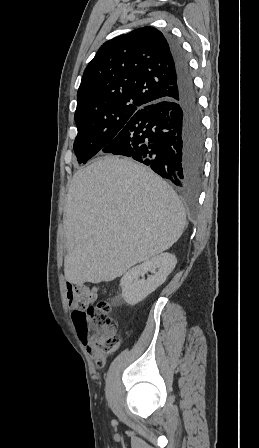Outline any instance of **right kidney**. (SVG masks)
<instances>
[{
  "label": "right kidney",
  "instance_id": "right-kidney-1",
  "mask_svg": "<svg viewBox=\"0 0 259 448\" xmlns=\"http://www.w3.org/2000/svg\"><path fill=\"white\" fill-rule=\"evenodd\" d=\"M176 264L177 260L173 254H160V256H155L148 262L140 264V266L131 268L121 278L122 294L114 298L113 304L118 306L124 300L126 304L135 306V304L144 300L146 296L152 294L161 284H164L167 276L173 272ZM147 272H151L153 276H148L147 280H145L144 276Z\"/></svg>",
  "mask_w": 259,
  "mask_h": 448
}]
</instances>
